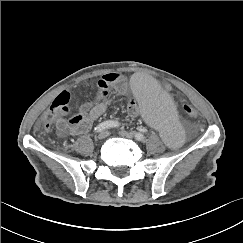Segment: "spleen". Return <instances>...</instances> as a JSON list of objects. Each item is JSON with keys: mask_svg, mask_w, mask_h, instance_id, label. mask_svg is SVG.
I'll use <instances>...</instances> for the list:
<instances>
[{"mask_svg": "<svg viewBox=\"0 0 243 243\" xmlns=\"http://www.w3.org/2000/svg\"><path fill=\"white\" fill-rule=\"evenodd\" d=\"M130 92L162 143L175 145L183 139L185 124L177 114L172 99L153 75H136L130 83Z\"/></svg>", "mask_w": 243, "mask_h": 243, "instance_id": "spleen-1", "label": "spleen"}]
</instances>
